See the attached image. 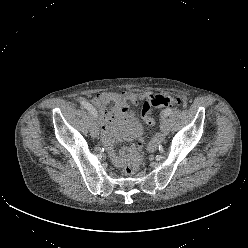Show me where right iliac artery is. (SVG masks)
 I'll use <instances>...</instances> for the list:
<instances>
[{
	"label": "right iliac artery",
	"mask_w": 248,
	"mask_h": 248,
	"mask_svg": "<svg viewBox=\"0 0 248 248\" xmlns=\"http://www.w3.org/2000/svg\"><path fill=\"white\" fill-rule=\"evenodd\" d=\"M80 105L84 108H86L90 113H92L95 117H97V111L95 110V108L88 102H86L85 100H81L80 101Z\"/></svg>",
	"instance_id": "obj_1"
}]
</instances>
